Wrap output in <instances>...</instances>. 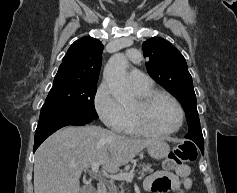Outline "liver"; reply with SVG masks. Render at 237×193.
Returning <instances> with one entry per match:
<instances>
[{
  "label": "liver",
  "mask_w": 237,
  "mask_h": 193,
  "mask_svg": "<svg viewBox=\"0 0 237 193\" xmlns=\"http://www.w3.org/2000/svg\"><path fill=\"white\" fill-rule=\"evenodd\" d=\"M156 140L126 137L94 125L64 127L36 151L34 193H82L81 173L93 163L115 173Z\"/></svg>",
  "instance_id": "6515ba94"
}]
</instances>
